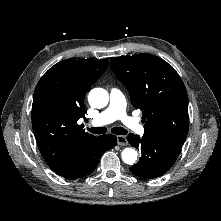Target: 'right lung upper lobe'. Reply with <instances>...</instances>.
<instances>
[{
    "mask_svg": "<svg viewBox=\"0 0 221 221\" xmlns=\"http://www.w3.org/2000/svg\"><path fill=\"white\" fill-rule=\"evenodd\" d=\"M108 67L103 60H63L39 80L33 97L32 127L42 157L53 170L67 166L95 140L78 120L84 98Z\"/></svg>",
    "mask_w": 221,
    "mask_h": 221,
    "instance_id": "1",
    "label": "right lung upper lobe"
}]
</instances>
